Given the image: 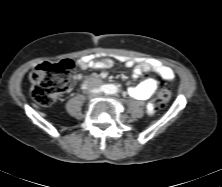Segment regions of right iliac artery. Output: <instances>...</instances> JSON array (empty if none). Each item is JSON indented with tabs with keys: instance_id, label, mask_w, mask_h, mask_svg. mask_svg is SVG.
Instances as JSON below:
<instances>
[{
	"instance_id": "82829eb1",
	"label": "right iliac artery",
	"mask_w": 222,
	"mask_h": 187,
	"mask_svg": "<svg viewBox=\"0 0 222 187\" xmlns=\"http://www.w3.org/2000/svg\"><path fill=\"white\" fill-rule=\"evenodd\" d=\"M99 91H107V88L106 87H101L99 90H97V89H94V90H92V92H99Z\"/></svg>"
}]
</instances>
